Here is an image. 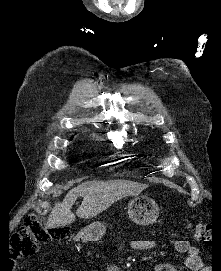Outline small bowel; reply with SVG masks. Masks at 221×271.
I'll list each match as a JSON object with an SVG mask.
<instances>
[{"label":"small bowel","mask_w":221,"mask_h":271,"mask_svg":"<svg viewBox=\"0 0 221 271\" xmlns=\"http://www.w3.org/2000/svg\"><path fill=\"white\" fill-rule=\"evenodd\" d=\"M155 242L150 239H137L130 242V247L136 251L151 250ZM172 245L179 253H184V264L190 271H202L203 264L200 258V251L197 247L190 245L186 240H174ZM107 271H121V268L115 265H109ZM153 271H179V269L171 264H156Z\"/></svg>","instance_id":"small-bowel-1"}]
</instances>
